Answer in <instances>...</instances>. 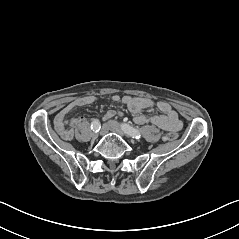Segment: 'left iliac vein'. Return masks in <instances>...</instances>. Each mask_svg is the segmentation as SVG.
<instances>
[{"label": "left iliac vein", "mask_w": 239, "mask_h": 239, "mask_svg": "<svg viewBox=\"0 0 239 239\" xmlns=\"http://www.w3.org/2000/svg\"><path fill=\"white\" fill-rule=\"evenodd\" d=\"M107 126H108V129H109L110 131H112V132H114V133H117V134H119L120 136H124V135H125V133H124V131H123V129H122V126H121L118 122H116V121H114V120H110V121L107 123Z\"/></svg>", "instance_id": "obj_1"}]
</instances>
